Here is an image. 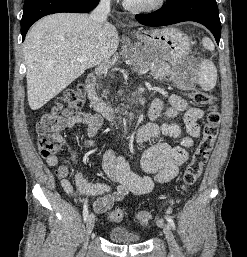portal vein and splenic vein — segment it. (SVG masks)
<instances>
[{"label":"portal vein and splenic vein","instance_id":"obj_1","mask_svg":"<svg viewBox=\"0 0 247 257\" xmlns=\"http://www.w3.org/2000/svg\"><path fill=\"white\" fill-rule=\"evenodd\" d=\"M87 56H80L78 57V61H87ZM148 71V69H146L145 71L141 72V74H145Z\"/></svg>","mask_w":247,"mask_h":257}]
</instances>
